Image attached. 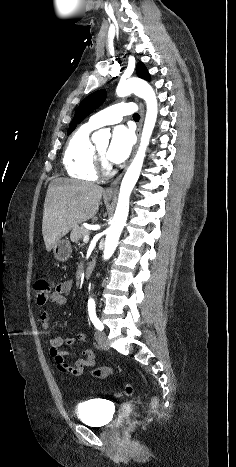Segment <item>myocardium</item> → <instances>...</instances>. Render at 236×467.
Segmentation results:
<instances>
[{"mask_svg": "<svg viewBox=\"0 0 236 467\" xmlns=\"http://www.w3.org/2000/svg\"><path fill=\"white\" fill-rule=\"evenodd\" d=\"M95 169L98 175H102L103 177H109L113 174V168L111 164L108 162L107 158L102 155L98 148L95 147Z\"/></svg>", "mask_w": 236, "mask_h": 467, "instance_id": "1", "label": "myocardium"}]
</instances>
